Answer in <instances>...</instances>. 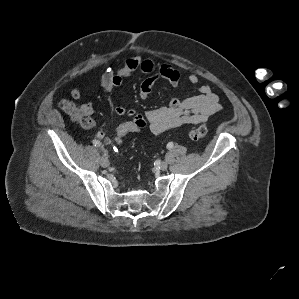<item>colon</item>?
<instances>
[{"mask_svg":"<svg viewBox=\"0 0 299 299\" xmlns=\"http://www.w3.org/2000/svg\"><path fill=\"white\" fill-rule=\"evenodd\" d=\"M59 107L80 125L84 127L91 125L93 119L82 106H78L71 100L64 99L60 101ZM142 129V124L134 119H127L120 122L115 129V145H121L127 137L139 133ZM207 133L208 128L205 125H200L190 129L188 135L192 140H199L206 137Z\"/></svg>","mask_w":299,"mask_h":299,"instance_id":"1","label":"colon"}]
</instances>
